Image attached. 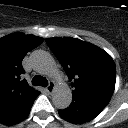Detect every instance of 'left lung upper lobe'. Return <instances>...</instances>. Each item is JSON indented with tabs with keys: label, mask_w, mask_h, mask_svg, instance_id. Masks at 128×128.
<instances>
[{
	"label": "left lung upper lobe",
	"mask_w": 128,
	"mask_h": 128,
	"mask_svg": "<svg viewBox=\"0 0 128 128\" xmlns=\"http://www.w3.org/2000/svg\"><path fill=\"white\" fill-rule=\"evenodd\" d=\"M46 43L72 81L73 99L108 103L116 81V67L109 54L82 40L48 38Z\"/></svg>",
	"instance_id": "1"
}]
</instances>
